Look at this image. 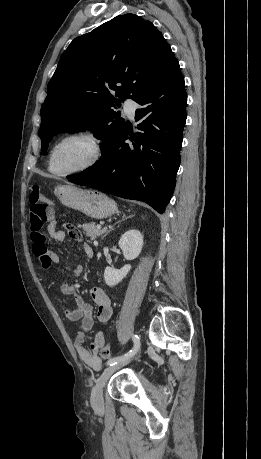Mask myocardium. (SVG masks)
Wrapping results in <instances>:
<instances>
[{
	"label": "myocardium",
	"mask_w": 261,
	"mask_h": 459,
	"mask_svg": "<svg viewBox=\"0 0 261 459\" xmlns=\"http://www.w3.org/2000/svg\"><path fill=\"white\" fill-rule=\"evenodd\" d=\"M70 139H84L88 141L91 146V155L85 163H83L82 165L74 169H71L66 172H55L52 169V164H51L54 152L58 148L59 145H61L63 142L70 140ZM103 153H104L103 143L96 134L90 131H82V130L68 132L66 134L61 135L59 138H57L51 145L48 155H47V169L51 174L55 176H59V177H68L71 175L79 174L97 165L102 159Z\"/></svg>",
	"instance_id": "obj_1"
}]
</instances>
